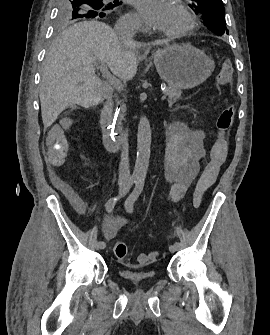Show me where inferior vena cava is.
Listing matches in <instances>:
<instances>
[{"label":"inferior vena cava","instance_id":"602c4592","mask_svg":"<svg viewBox=\"0 0 270 335\" xmlns=\"http://www.w3.org/2000/svg\"><path fill=\"white\" fill-rule=\"evenodd\" d=\"M114 30L119 40H133L136 34V28L132 26L131 20L127 18H120L114 26ZM121 150V162L119 164V185H129L130 173H129V160H128V134L123 132L120 136Z\"/></svg>","mask_w":270,"mask_h":335}]
</instances>
